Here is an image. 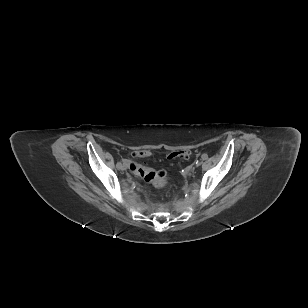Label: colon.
Wrapping results in <instances>:
<instances>
[{
  "label": "colon",
  "instance_id": "obj_1",
  "mask_svg": "<svg viewBox=\"0 0 308 308\" xmlns=\"http://www.w3.org/2000/svg\"><path fill=\"white\" fill-rule=\"evenodd\" d=\"M149 155L150 152L147 150H140L135 153V156L138 158H145L148 157ZM190 157H191V152L189 150L175 151L171 152L168 155L169 159H174V158L189 159ZM130 170L134 175L142 178L146 182H149L155 186L163 187L169 183L167 174L163 170H155L136 162H132L130 164Z\"/></svg>",
  "mask_w": 308,
  "mask_h": 308
}]
</instances>
